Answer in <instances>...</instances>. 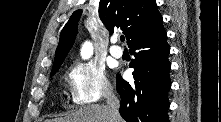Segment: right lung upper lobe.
<instances>
[{
  "instance_id": "obj_1",
  "label": "right lung upper lobe",
  "mask_w": 221,
  "mask_h": 122,
  "mask_svg": "<svg viewBox=\"0 0 221 122\" xmlns=\"http://www.w3.org/2000/svg\"><path fill=\"white\" fill-rule=\"evenodd\" d=\"M81 12L75 11L61 32L52 72L59 69L73 45ZM99 17L111 32L114 28H120L128 40V46L162 21L155 0H100Z\"/></svg>"
}]
</instances>
